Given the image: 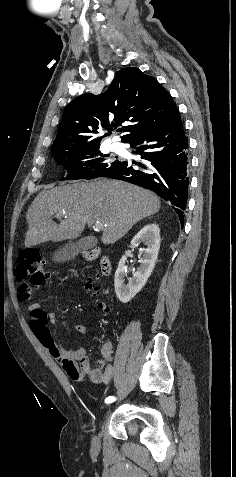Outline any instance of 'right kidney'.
Here are the masks:
<instances>
[{
  "label": "right kidney",
  "mask_w": 236,
  "mask_h": 477,
  "mask_svg": "<svg viewBox=\"0 0 236 477\" xmlns=\"http://www.w3.org/2000/svg\"><path fill=\"white\" fill-rule=\"evenodd\" d=\"M143 242L147 248L141 249L144 253L141 258L140 267L133 272V276L128 279V284L124 283L127 272L125 266L127 256L124 255L119 261L115 273L114 286L118 299L122 303L129 302L146 284L150 277L160 249V229L157 224H148L143 227L131 241V247L136 248Z\"/></svg>",
  "instance_id": "right-kidney-1"
}]
</instances>
